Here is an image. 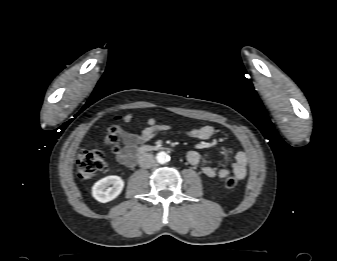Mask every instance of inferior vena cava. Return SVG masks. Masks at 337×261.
I'll list each match as a JSON object with an SVG mask.
<instances>
[{"instance_id": "inferior-vena-cava-1", "label": "inferior vena cava", "mask_w": 337, "mask_h": 261, "mask_svg": "<svg viewBox=\"0 0 337 261\" xmlns=\"http://www.w3.org/2000/svg\"><path fill=\"white\" fill-rule=\"evenodd\" d=\"M138 163L142 168H151L155 164L154 155L151 153H144L139 156Z\"/></svg>"}]
</instances>
